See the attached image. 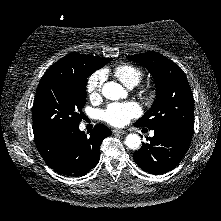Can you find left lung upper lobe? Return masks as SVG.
Listing matches in <instances>:
<instances>
[{
    "label": "left lung upper lobe",
    "instance_id": "left-lung-upper-lobe-1",
    "mask_svg": "<svg viewBox=\"0 0 221 221\" xmlns=\"http://www.w3.org/2000/svg\"><path fill=\"white\" fill-rule=\"evenodd\" d=\"M127 58L145 66L156 85L153 105L135 125L153 130L171 129L192 135L194 99L182 69L165 56L153 51Z\"/></svg>",
    "mask_w": 221,
    "mask_h": 221
}]
</instances>
